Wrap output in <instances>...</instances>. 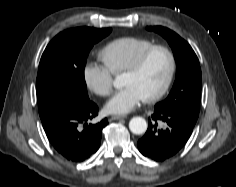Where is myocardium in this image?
Here are the masks:
<instances>
[{
  "instance_id": "f54148a6",
  "label": "myocardium",
  "mask_w": 236,
  "mask_h": 187,
  "mask_svg": "<svg viewBox=\"0 0 236 187\" xmlns=\"http://www.w3.org/2000/svg\"><path fill=\"white\" fill-rule=\"evenodd\" d=\"M155 51H162L167 55L169 59V69L166 80L162 87L157 92L144 98V101L148 103L155 102L161 99L168 92L169 88L172 85L176 72V58L173 51L163 45H152L142 51L140 54H138L137 57L133 60V62L130 64V66L124 71L128 74H136L141 70L147 58Z\"/></svg>"
}]
</instances>
